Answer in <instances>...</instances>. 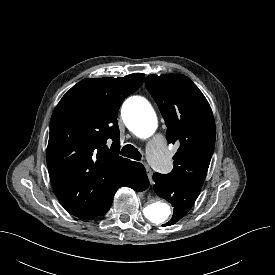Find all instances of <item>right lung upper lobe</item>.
I'll return each mask as SVG.
<instances>
[{
    "label": "right lung upper lobe",
    "instance_id": "obj_1",
    "mask_svg": "<svg viewBox=\"0 0 275 275\" xmlns=\"http://www.w3.org/2000/svg\"><path fill=\"white\" fill-rule=\"evenodd\" d=\"M144 76L84 79L66 92L52 114L46 151L50 180L62 206L80 219L98 214L137 164L118 155L117 116Z\"/></svg>",
    "mask_w": 275,
    "mask_h": 275
}]
</instances>
